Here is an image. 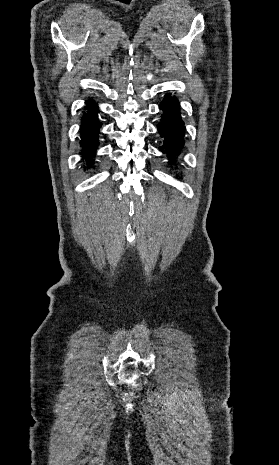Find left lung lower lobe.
Here are the masks:
<instances>
[{
	"mask_svg": "<svg viewBox=\"0 0 279 465\" xmlns=\"http://www.w3.org/2000/svg\"><path fill=\"white\" fill-rule=\"evenodd\" d=\"M163 110L162 120L157 128L162 137L163 147L159 149L167 153L171 163H175V157L179 155L183 145L185 126L180 114L179 101L169 96L165 97L159 106Z\"/></svg>",
	"mask_w": 279,
	"mask_h": 465,
	"instance_id": "1",
	"label": "left lung lower lobe"
}]
</instances>
